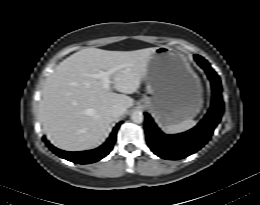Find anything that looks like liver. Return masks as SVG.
Masks as SVG:
<instances>
[{"label":"liver","mask_w":260,"mask_h":205,"mask_svg":"<svg viewBox=\"0 0 260 205\" xmlns=\"http://www.w3.org/2000/svg\"><path fill=\"white\" fill-rule=\"evenodd\" d=\"M156 49L85 48L60 62L47 77L39 103V118L50 142L67 151L97 147L114 121L109 110L115 105L126 110L133 106L134 100L126 94L140 88ZM113 68L117 70L110 76L112 87L123 94L104 88L96 77L99 71Z\"/></svg>","instance_id":"1"}]
</instances>
